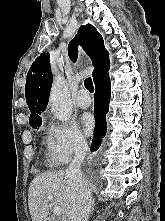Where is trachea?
Segmentation results:
<instances>
[{
	"label": "trachea",
	"instance_id": "1",
	"mask_svg": "<svg viewBox=\"0 0 165 221\" xmlns=\"http://www.w3.org/2000/svg\"><path fill=\"white\" fill-rule=\"evenodd\" d=\"M84 86L87 90H89V92L93 93L94 92V86H93V82L92 79L90 77L86 78L84 80Z\"/></svg>",
	"mask_w": 165,
	"mask_h": 221
}]
</instances>
